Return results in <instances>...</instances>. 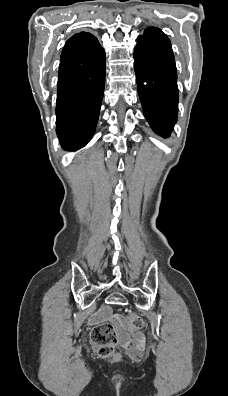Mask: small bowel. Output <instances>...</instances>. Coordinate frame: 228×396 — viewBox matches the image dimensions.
<instances>
[{
  "mask_svg": "<svg viewBox=\"0 0 228 396\" xmlns=\"http://www.w3.org/2000/svg\"><path fill=\"white\" fill-rule=\"evenodd\" d=\"M113 321L115 325L119 328L122 327L123 321L120 317L114 316ZM123 345L128 352V354L135 360H141L144 355L145 350V339L142 334H138L135 338L131 340H124Z\"/></svg>",
  "mask_w": 228,
  "mask_h": 396,
  "instance_id": "small-bowel-1",
  "label": "small bowel"
}]
</instances>
